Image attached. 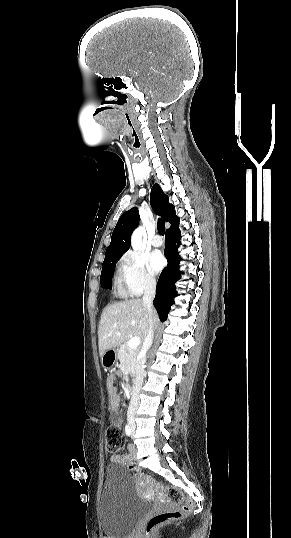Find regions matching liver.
I'll return each mask as SVG.
<instances>
[{
  "instance_id": "1",
  "label": "liver",
  "mask_w": 291,
  "mask_h": 538,
  "mask_svg": "<svg viewBox=\"0 0 291 538\" xmlns=\"http://www.w3.org/2000/svg\"><path fill=\"white\" fill-rule=\"evenodd\" d=\"M156 313L148 312L139 298L114 302L106 306L101 314L98 328L99 354L113 349L128 339L138 336L144 340L150 327V319L154 323Z\"/></svg>"
}]
</instances>
